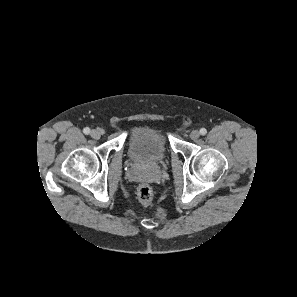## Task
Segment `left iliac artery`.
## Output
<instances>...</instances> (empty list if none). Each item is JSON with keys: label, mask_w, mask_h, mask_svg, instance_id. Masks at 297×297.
Returning <instances> with one entry per match:
<instances>
[{"label": "left iliac artery", "mask_w": 297, "mask_h": 297, "mask_svg": "<svg viewBox=\"0 0 297 297\" xmlns=\"http://www.w3.org/2000/svg\"><path fill=\"white\" fill-rule=\"evenodd\" d=\"M207 133V130L205 128L200 129V134L205 135Z\"/></svg>", "instance_id": "1"}]
</instances>
